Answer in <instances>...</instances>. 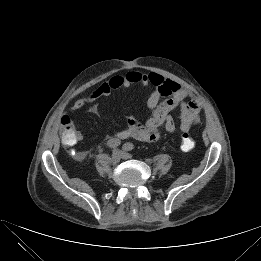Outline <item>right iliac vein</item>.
I'll return each instance as SVG.
<instances>
[{
    "mask_svg": "<svg viewBox=\"0 0 261 261\" xmlns=\"http://www.w3.org/2000/svg\"><path fill=\"white\" fill-rule=\"evenodd\" d=\"M120 159H121V152L118 151V150H115L112 155H111V158H110V162L113 164V165H116L120 162Z\"/></svg>",
    "mask_w": 261,
    "mask_h": 261,
    "instance_id": "1",
    "label": "right iliac vein"
}]
</instances>
